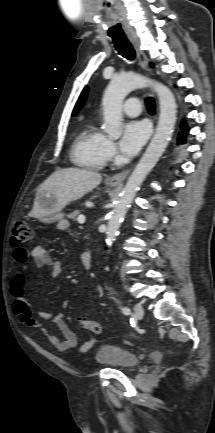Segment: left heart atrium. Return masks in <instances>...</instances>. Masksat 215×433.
Returning a JSON list of instances; mask_svg holds the SVG:
<instances>
[{
	"instance_id": "obj_1",
	"label": "left heart atrium",
	"mask_w": 215,
	"mask_h": 433,
	"mask_svg": "<svg viewBox=\"0 0 215 433\" xmlns=\"http://www.w3.org/2000/svg\"><path fill=\"white\" fill-rule=\"evenodd\" d=\"M149 136V127L146 122L132 120L123 127L120 140V150L126 156L135 155L146 142Z\"/></svg>"
}]
</instances>
